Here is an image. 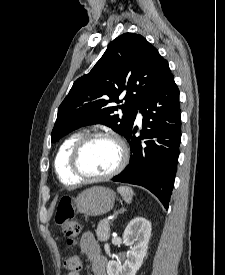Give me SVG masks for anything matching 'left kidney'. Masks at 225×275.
I'll return each instance as SVG.
<instances>
[{
    "label": "left kidney",
    "instance_id": "obj_1",
    "mask_svg": "<svg viewBox=\"0 0 225 275\" xmlns=\"http://www.w3.org/2000/svg\"><path fill=\"white\" fill-rule=\"evenodd\" d=\"M151 230V223L142 217L134 218L127 225L123 240L127 246H130L131 252L123 265L114 260L109 261L108 275H136L147 254Z\"/></svg>",
    "mask_w": 225,
    "mask_h": 275
}]
</instances>
